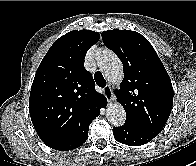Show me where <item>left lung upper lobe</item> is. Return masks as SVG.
<instances>
[{"mask_svg": "<svg viewBox=\"0 0 196 166\" xmlns=\"http://www.w3.org/2000/svg\"><path fill=\"white\" fill-rule=\"evenodd\" d=\"M104 44L120 58L124 79L115 91L126 111V124L159 134L173 106L170 77L152 45L130 30L102 32Z\"/></svg>", "mask_w": 196, "mask_h": 166, "instance_id": "5c2ea615", "label": "left lung upper lobe"}]
</instances>
